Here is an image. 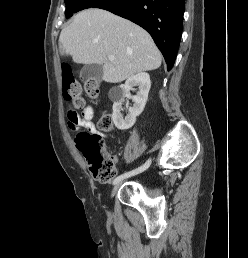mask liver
<instances>
[{"label": "liver", "instance_id": "1", "mask_svg": "<svg viewBox=\"0 0 248 258\" xmlns=\"http://www.w3.org/2000/svg\"><path fill=\"white\" fill-rule=\"evenodd\" d=\"M59 50L77 64H102L103 80L109 83L155 70L162 61L160 51L144 29L97 8L79 12L61 31ZM108 55L115 57L113 62L107 60Z\"/></svg>", "mask_w": 248, "mask_h": 258}]
</instances>
